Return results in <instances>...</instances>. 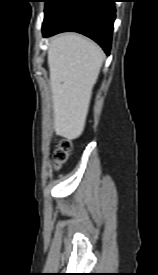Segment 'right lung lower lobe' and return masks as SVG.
<instances>
[{"label": "right lung lower lobe", "mask_w": 158, "mask_h": 275, "mask_svg": "<svg viewBox=\"0 0 158 275\" xmlns=\"http://www.w3.org/2000/svg\"><path fill=\"white\" fill-rule=\"evenodd\" d=\"M115 0H59L44 17L42 32L44 37L74 31L96 41L109 54L113 24L115 20Z\"/></svg>", "instance_id": "right-lung-lower-lobe-1"}]
</instances>
